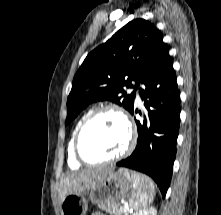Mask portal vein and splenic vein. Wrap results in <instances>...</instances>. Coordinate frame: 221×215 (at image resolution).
<instances>
[{"instance_id": "1", "label": "portal vein and splenic vein", "mask_w": 221, "mask_h": 215, "mask_svg": "<svg viewBox=\"0 0 221 215\" xmlns=\"http://www.w3.org/2000/svg\"><path fill=\"white\" fill-rule=\"evenodd\" d=\"M124 208H125V210H128V207L125 206Z\"/></svg>"}]
</instances>
